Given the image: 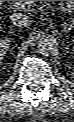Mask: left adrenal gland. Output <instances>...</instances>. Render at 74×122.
I'll use <instances>...</instances> for the list:
<instances>
[{"mask_svg":"<svg viewBox=\"0 0 74 122\" xmlns=\"http://www.w3.org/2000/svg\"><path fill=\"white\" fill-rule=\"evenodd\" d=\"M63 28H64V30H66L68 28V25L66 23H64Z\"/></svg>","mask_w":74,"mask_h":122,"instance_id":"1","label":"left adrenal gland"}]
</instances>
